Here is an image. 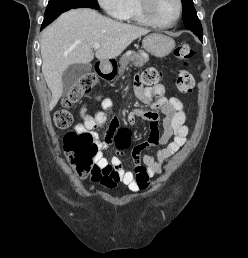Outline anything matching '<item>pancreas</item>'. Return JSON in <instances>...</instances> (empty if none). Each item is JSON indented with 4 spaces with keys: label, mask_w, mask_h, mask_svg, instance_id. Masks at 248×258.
<instances>
[{
    "label": "pancreas",
    "mask_w": 248,
    "mask_h": 258,
    "mask_svg": "<svg viewBox=\"0 0 248 258\" xmlns=\"http://www.w3.org/2000/svg\"><path fill=\"white\" fill-rule=\"evenodd\" d=\"M148 60L149 56L143 50H139L138 53L129 51L121 57L118 73L122 75L130 61L135 67H142Z\"/></svg>",
    "instance_id": "obj_1"
}]
</instances>
